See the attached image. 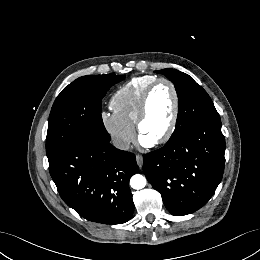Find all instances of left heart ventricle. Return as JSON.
Instances as JSON below:
<instances>
[{
	"label": "left heart ventricle",
	"mask_w": 260,
	"mask_h": 260,
	"mask_svg": "<svg viewBox=\"0 0 260 260\" xmlns=\"http://www.w3.org/2000/svg\"><path fill=\"white\" fill-rule=\"evenodd\" d=\"M174 108V97L170 87L160 84L151 95L148 113L141 126V135L153 141L167 130Z\"/></svg>",
	"instance_id": "b2bd125f"
}]
</instances>
